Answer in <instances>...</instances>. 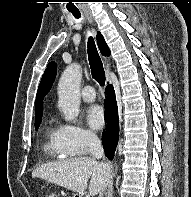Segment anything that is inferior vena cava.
Wrapping results in <instances>:
<instances>
[{
	"label": "inferior vena cava",
	"instance_id": "602c4592",
	"mask_svg": "<svg viewBox=\"0 0 191 197\" xmlns=\"http://www.w3.org/2000/svg\"><path fill=\"white\" fill-rule=\"evenodd\" d=\"M88 144L90 148V153L94 158L100 159L104 156V150L101 145V141L99 140L97 135L90 134L88 136ZM99 197H103V191L100 192Z\"/></svg>",
	"mask_w": 191,
	"mask_h": 197
}]
</instances>
